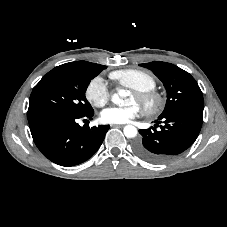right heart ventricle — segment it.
Segmentation results:
<instances>
[{"label":"right heart ventricle","instance_id":"right-heart-ventricle-1","mask_svg":"<svg viewBox=\"0 0 227 227\" xmlns=\"http://www.w3.org/2000/svg\"><path fill=\"white\" fill-rule=\"evenodd\" d=\"M109 77L117 84L133 91L153 90L156 87L154 77L149 73L138 69L116 70L111 72Z\"/></svg>","mask_w":227,"mask_h":227}]
</instances>
